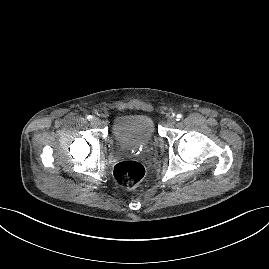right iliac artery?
<instances>
[{
  "instance_id": "1",
  "label": "right iliac artery",
  "mask_w": 269,
  "mask_h": 269,
  "mask_svg": "<svg viewBox=\"0 0 269 269\" xmlns=\"http://www.w3.org/2000/svg\"><path fill=\"white\" fill-rule=\"evenodd\" d=\"M92 118H93V117H92L91 115H88V116H87V119H88V120H91Z\"/></svg>"
}]
</instances>
